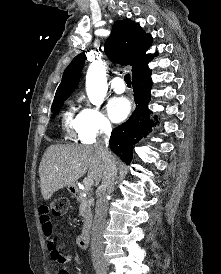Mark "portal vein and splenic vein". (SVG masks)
<instances>
[{
	"mask_svg": "<svg viewBox=\"0 0 221 274\" xmlns=\"http://www.w3.org/2000/svg\"><path fill=\"white\" fill-rule=\"evenodd\" d=\"M83 184L86 188H91L94 184V181L91 178H85Z\"/></svg>",
	"mask_w": 221,
	"mask_h": 274,
	"instance_id": "1",
	"label": "portal vein and splenic vein"
}]
</instances>
